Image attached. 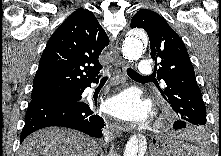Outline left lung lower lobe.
I'll return each instance as SVG.
<instances>
[{
	"label": "left lung lower lobe",
	"instance_id": "left-lung-lower-lobe-1",
	"mask_svg": "<svg viewBox=\"0 0 221 156\" xmlns=\"http://www.w3.org/2000/svg\"><path fill=\"white\" fill-rule=\"evenodd\" d=\"M186 126H187V122H185V121H183V120H177V121H175L174 124H173V128H174L175 130L181 129V128H185ZM155 142H156V140L153 139V143H155Z\"/></svg>",
	"mask_w": 221,
	"mask_h": 156
}]
</instances>
